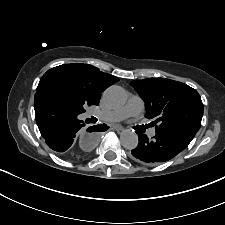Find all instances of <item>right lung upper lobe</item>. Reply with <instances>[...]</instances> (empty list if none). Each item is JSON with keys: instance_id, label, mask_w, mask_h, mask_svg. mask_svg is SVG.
Here are the masks:
<instances>
[{"instance_id": "cb5924a9", "label": "right lung upper lobe", "mask_w": 225, "mask_h": 225, "mask_svg": "<svg viewBox=\"0 0 225 225\" xmlns=\"http://www.w3.org/2000/svg\"><path fill=\"white\" fill-rule=\"evenodd\" d=\"M49 77H62L73 83L85 92L92 105H98L101 92L119 81L89 64H63L48 70L41 79Z\"/></svg>"}]
</instances>
